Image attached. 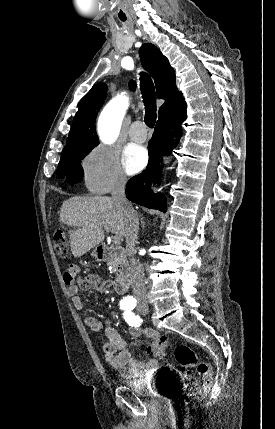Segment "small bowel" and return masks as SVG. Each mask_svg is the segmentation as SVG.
Listing matches in <instances>:
<instances>
[{"label": "small bowel", "mask_w": 275, "mask_h": 429, "mask_svg": "<svg viewBox=\"0 0 275 429\" xmlns=\"http://www.w3.org/2000/svg\"><path fill=\"white\" fill-rule=\"evenodd\" d=\"M79 272L80 268L77 265H70L63 278L73 305L76 309L83 310L84 303L78 295L79 289L83 288L85 290L104 292L110 287L111 282L102 279L96 274H89L79 279L77 278ZM85 324L94 332H98L104 328L107 338L103 346L105 360L109 366L123 378H137L146 372L157 369L158 362L154 358L135 359L132 357L127 343L111 325L109 320L103 322L95 316H87L85 318ZM129 331L132 337H140L143 334L146 335L151 340V344L148 347V352L151 353L156 352L158 342L163 338L158 332L151 329L143 330L139 327H132Z\"/></svg>", "instance_id": "obj_1"}]
</instances>
